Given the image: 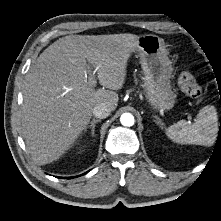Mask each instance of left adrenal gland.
<instances>
[{
    "label": "left adrenal gland",
    "instance_id": "left-adrenal-gland-1",
    "mask_svg": "<svg viewBox=\"0 0 221 221\" xmlns=\"http://www.w3.org/2000/svg\"><path fill=\"white\" fill-rule=\"evenodd\" d=\"M157 120H155L156 124L162 125V121L160 118L156 117Z\"/></svg>",
    "mask_w": 221,
    "mask_h": 221
}]
</instances>
